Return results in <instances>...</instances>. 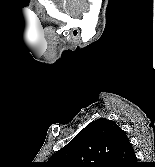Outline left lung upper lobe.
Wrapping results in <instances>:
<instances>
[{"label":"left lung upper lobe","mask_w":155,"mask_h":167,"mask_svg":"<svg viewBox=\"0 0 155 167\" xmlns=\"http://www.w3.org/2000/svg\"><path fill=\"white\" fill-rule=\"evenodd\" d=\"M126 140L125 133L117 124L98 119L80 131L56 153L54 159L59 161L58 167H87L91 161L99 159L112 164Z\"/></svg>","instance_id":"obj_1"}]
</instances>
